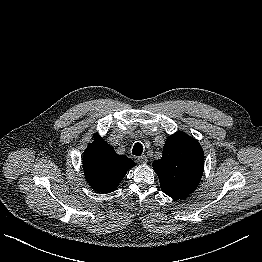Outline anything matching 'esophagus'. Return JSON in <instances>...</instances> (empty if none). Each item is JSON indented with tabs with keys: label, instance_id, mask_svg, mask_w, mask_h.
<instances>
[{
	"label": "esophagus",
	"instance_id": "esophagus-1",
	"mask_svg": "<svg viewBox=\"0 0 262 262\" xmlns=\"http://www.w3.org/2000/svg\"><path fill=\"white\" fill-rule=\"evenodd\" d=\"M138 161L141 163V164H146L147 163V157L145 155H141L138 157Z\"/></svg>",
	"mask_w": 262,
	"mask_h": 262
}]
</instances>
